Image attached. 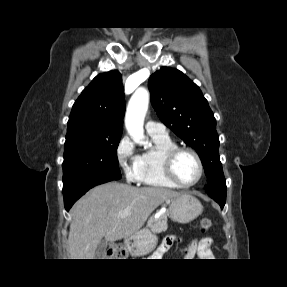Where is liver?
I'll return each instance as SVG.
<instances>
[{
    "label": "liver",
    "mask_w": 287,
    "mask_h": 287,
    "mask_svg": "<svg viewBox=\"0 0 287 287\" xmlns=\"http://www.w3.org/2000/svg\"><path fill=\"white\" fill-rule=\"evenodd\" d=\"M181 193L160 187L137 188L109 182L96 186L71 209L68 236L70 259H96L102 240L114 242L138 232L151 213L162 203ZM129 209L127 217L119 213Z\"/></svg>",
    "instance_id": "obj_1"
}]
</instances>
